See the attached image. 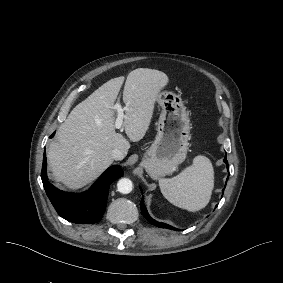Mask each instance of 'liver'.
<instances>
[{"label":"liver","mask_w":283,"mask_h":283,"mask_svg":"<svg viewBox=\"0 0 283 283\" xmlns=\"http://www.w3.org/2000/svg\"><path fill=\"white\" fill-rule=\"evenodd\" d=\"M168 76L158 70L138 68L126 79L122 127L132 142L140 141L149 128L154 103ZM124 77L111 79L75 106L49 145L47 158L56 181L79 189L95 180L113 163L112 150L125 156L129 141L115 131L112 109Z\"/></svg>","instance_id":"6515ba94"}]
</instances>
